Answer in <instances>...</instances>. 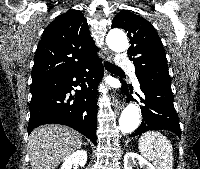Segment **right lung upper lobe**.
Instances as JSON below:
<instances>
[{"label":"right lung upper lobe","mask_w":200,"mask_h":169,"mask_svg":"<svg viewBox=\"0 0 200 169\" xmlns=\"http://www.w3.org/2000/svg\"><path fill=\"white\" fill-rule=\"evenodd\" d=\"M96 51L83 13L69 9L43 32L34 56L32 83L70 73L95 57Z\"/></svg>","instance_id":"right-lung-upper-lobe-1"}]
</instances>
